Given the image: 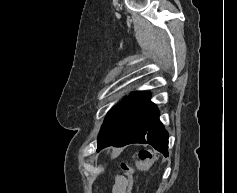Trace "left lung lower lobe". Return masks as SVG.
I'll list each match as a JSON object with an SVG mask.
<instances>
[{
	"label": "left lung lower lobe",
	"instance_id": "left-lung-lower-lobe-1",
	"mask_svg": "<svg viewBox=\"0 0 237 193\" xmlns=\"http://www.w3.org/2000/svg\"><path fill=\"white\" fill-rule=\"evenodd\" d=\"M149 98V93L143 96L113 146L122 147L132 143L150 144L164 156H168V132L159 120V110ZM100 150L97 148V151Z\"/></svg>",
	"mask_w": 237,
	"mask_h": 193
}]
</instances>
